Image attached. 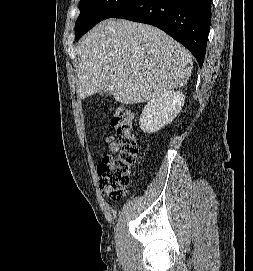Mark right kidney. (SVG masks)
Listing matches in <instances>:
<instances>
[{"mask_svg":"<svg viewBox=\"0 0 253 271\" xmlns=\"http://www.w3.org/2000/svg\"><path fill=\"white\" fill-rule=\"evenodd\" d=\"M185 95L180 91H166L150 100L140 116V129L148 134L156 133L170 124L181 111Z\"/></svg>","mask_w":253,"mask_h":271,"instance_id":"right-kidney-1","label":"right kidney"}]
</instances>
